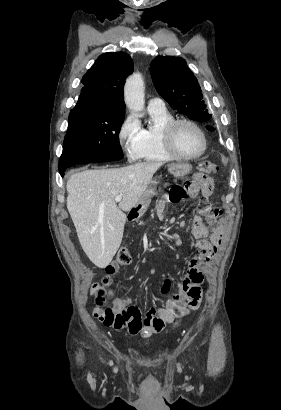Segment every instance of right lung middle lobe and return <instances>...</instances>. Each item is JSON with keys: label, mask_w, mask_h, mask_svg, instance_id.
Listing matches in <instances>:
<instances>
[{"label": "right lung middle lobe", "mask_w": 281, "mask_h": 410, "mask_svg": "<svg viewBox=\"0 0 281 410\" xmlns=\"http://www.w3.org/2000/svg\"><path fill=\"white\" fill-rule=\"evenodd\" d=\"M124 115L123 112L92 107H74L69 114L59 171L75 164L108 162L123 158L118 134Z\"/></svg>", "instance_id": "right-lung-middle-lobe-1"}]
</instances>
